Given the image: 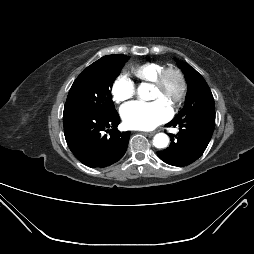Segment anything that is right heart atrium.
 Masks as SVG:
<instances>
[{
	"instance_id": "right-heart-atrium-1",
	"label": "right heart atrium",
	"mask_w": 254,
	"mask_h": 254,
	"mask_svg": "<svg viewBox=\"0 0 254 254\" xmlns=\"http://www.w3.org/2000/svg\"><path fill=\"white\" fill-rule=\"evenodd\" d=\"M134 83L126 76L119 75L111 85V95L115 103H123L135 94Z\"/></svg>"
}]
</instances>
